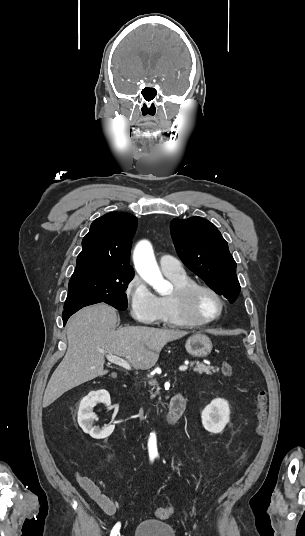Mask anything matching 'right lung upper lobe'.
Returning a JSON list of instances; mask_svg holds the SVG:
<instances>
[{
    "label": "right lung upper lobe",
    "mask_w": 305,
    "mask_h": 536,
    "mask_svg": "<svg viewBox=\"0 0 305 536\" xmlns=\"http://www.w3.org/2000/svg\"><path fill=\"white\" fill-rule=\"evenodd\" d=\"M137 218L125 212H111L93 221L82 241L72 277L87 274H134L130 249ZM71 277V278H72Z\"/></svg>",
    "instance_id": "cb5924a9"
}]
</instances>
